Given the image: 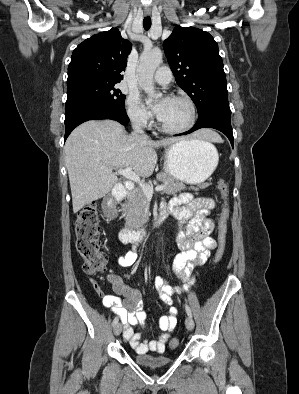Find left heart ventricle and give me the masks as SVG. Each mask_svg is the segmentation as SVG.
Wrapping results in <instances>:
<instances>
[{
    "label": "left heart ventricle",
    "instance_id": "b2bd125f",
    "mask_svg": "<svg viewBox=\"0 0 299 394\" xmlns=\"http://www.w3.org/2000/svg\"><path fill=\"white\" fill-rule=\"evenodd\" d=\"M159 118L167 127L181 128L189 123L191 111L184 101L167 99L165 109Z\"/></svg>",
    "mask_w": 299,
    "mask_h": 394
}]
</instances>
